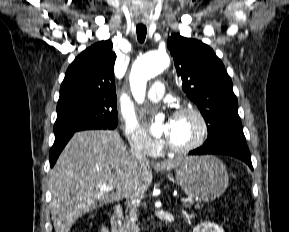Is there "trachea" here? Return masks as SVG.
<instances>
[{
  "mask_svg": "<svg viewBox=\"0 0 289 232\" xmlns=\"http://www.w3.org/2000/svg\"><path fill=\"white\" fill-rule=\"evenodd\" d=\"M137 39L140 43H143L146 38L147 28L145 25H137L136 27Z\"/></svg>",
  "mask_w": 289,
  "mask_h": 232,
  "instance_id": "3493384b",
  "label": "trachea"
}]
</instances>
